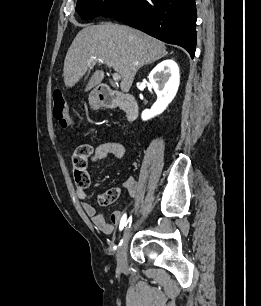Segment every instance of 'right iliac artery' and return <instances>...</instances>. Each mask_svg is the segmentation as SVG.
I'll return each instance as SVG.
<instances>
[{"label": "right iliac artery", "mask_w": 261, "mask_h": 306, "mask_svg": "<svg viewBox=\"0 0 261 306\" xmlns=\"http://www.w3.org/2000/svg\"><path fill=\"white\" fill-rule=\"evenodd\" d=\"M131 223H132V216H130L128 219H127V215L124 214L121 221H120V224H119V230L122 231L124 229V227L126 229H129L130 226H131Z\"/></svg>", "instance_id": "obj_1"}]
</instances>
